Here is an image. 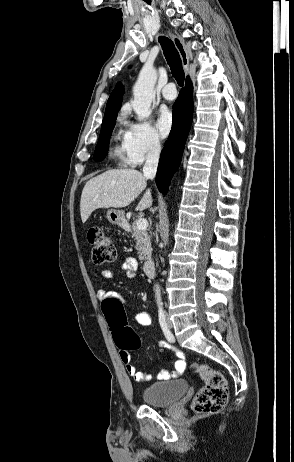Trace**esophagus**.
I'll return each instance as SVG.
<instances>
[{"mask_svg": "<svg viewBox=\"0 0 294 462\" xmlns=\"http://www.w3.org/2000/svg\"><path fill=\"white\" fill-rule=\"evenodd\" d=\"M170 37L180 55L183 67L185 71L187 72L189 69V56H190L189 49L187 45L185 44V42L180 37L173 35V34H170Z\"/></svg>", "mask_w": 294, "mask_h": 462, "instance_id": "obj_1", "label": "esophagus"}]
</instances>
